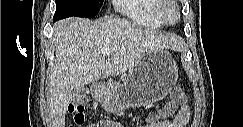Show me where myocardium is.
Here are the masks:
<instances>
[{
	"label": "myocardium",
	"instance_id": "f54148a6",
	"mask_svg": "<svg viewBox=\"0 0 243 127\" xmlns=\"http://www.w3.org/2000/svg\"><path fill=\"white\" fill-rule=\"evenodd\" d=\"M157 16L165 25H176L182 17L181 8L176 0H158ZM169 7H173L177 13L175 19H171L167 13Z\"/></svg>",
	"mask_w": 243,
	"mask_h": 127
}]
</instances>
